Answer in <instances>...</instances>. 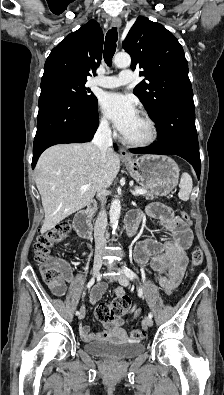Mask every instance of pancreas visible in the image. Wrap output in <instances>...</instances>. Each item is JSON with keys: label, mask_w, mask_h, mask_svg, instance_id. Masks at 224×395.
<instances>
[{"label": "pancreas", "mask_w": 224, "mask_h": 395, "mask_svg": "<svg viewBox=\"0 0 224 395\" xmlns=\"http://www.w3.org/2000/svg\"><path fill=\"white\" fill-rule=\"evenodd\" d=\"M135 188H136V189H143V190H146L147 193L144 194V196H145L146 199H148V200H153V199L156 197L155 194H153L152 192L148 191V190L145 189V188H141V187H139V186H136Z\"/></svg>", "instance_id": "obj_1"}]
</instances>
